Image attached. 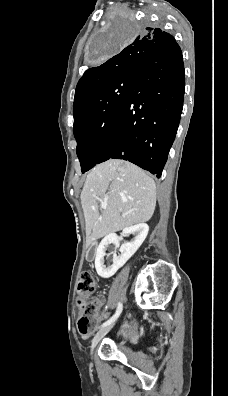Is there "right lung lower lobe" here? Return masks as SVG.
I'll use <instances>...</instances> for the list:
<instances>
[{"label": "right lung lower lobe", "mask_w": 228, "mask_h": 396, "mask_svg": "<svg viewBox=\"0 0 228 396\" xmlns=\"http://www.w3.org/2000/svg\"><path fill=\"white\" fill-rule=\"evenodd\" d=\"M184 89L182 52L174 39L140 62L97 164L124 159L160 178L178 129Z\"/></svg>", "instance_id": "right-lung-lower-lobe-1"}]
</instances>
